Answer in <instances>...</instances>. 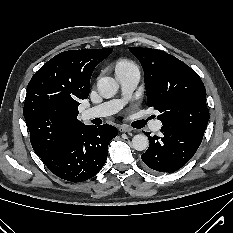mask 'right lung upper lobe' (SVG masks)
Instances as JSON below:
<instances>
[{
	"label": "right lung upper lobe",
	"mask_w": 233,
	"mask_h": 233,
	"mask_svg": "<svg viewBox=\"0 0 233 233\" xmlns=\"http://www.w3.org/2000/svg\"><path fill=\"white\" fill-rule=\"evenodd\" d=\"M111 52L112 48L64 51L31 78L23 113L31 145L40 158L84 126L77 120L78 106L88 98L95 67Z\"/></svg>",
	"instance_id": "cb5924a9"
}]
</instances>
